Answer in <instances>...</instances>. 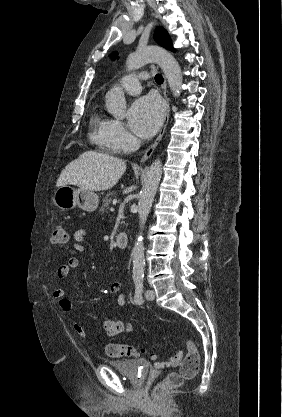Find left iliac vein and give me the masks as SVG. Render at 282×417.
Segmentation results:
<instances>
[{
    "mask_svg": "<svg viewBox=\"0 0 282 417\" xmlns=\"http://www.w3.org/2000/svg\"><path fill=\"white\" fill-rule=\"evenodd\" d=\"M145 298H146L147 300H149V301L154 300V298H155V293H154V291H153V290H147V291L145 292Z\"/></svg>",
    "mask_w": 282,
    "mask_h": 417,
    "instance_id": "4c4485c4",
    "label": "left iliac vein"
}]
</instances>
